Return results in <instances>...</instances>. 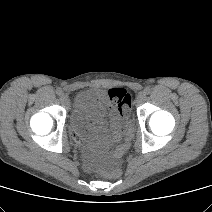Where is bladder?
Masks as SVG:
<instances>
[{"label": "bladder", "instance_id": "bladder-1", "mask_svg": "<svg viewBox=\"0 0 212 212\" xmlns=\"http://www.w3.org/2000/svg\"><path fill=\"white\" fill-rule=\"evenodd\" d=\"M98 90L87 89L77 94L74 107L70 115V123L74 127L80 137L85 142H92L93 136L87 130L88 116L90 109L94 106L98 98Z\"/></svg>", "mask_w": 212, "mask_h": 212}]
</instances>
